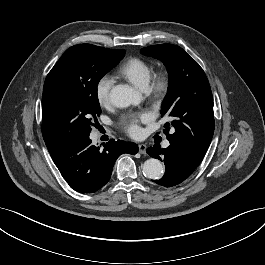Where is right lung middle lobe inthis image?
<instances>
[{"mask_svg":"<svg viewBox=\"0 0 265 265\" xmlns=\"http://www.w3.org/2000/svg\"><path fill=\"white\" fill-rule=\"evenodd\" d=\"M124 55V49L75 45L49 72L43 88L42 135L50 155L89 136L101 114L98 82Z\"/></svg>","mask_w":265,"mask_h":265,"instance_id":"1","label":"right lung middle lobe"}]
</instances>
